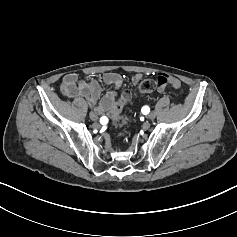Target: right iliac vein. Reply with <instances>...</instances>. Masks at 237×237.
<instances>
[{
	"label": "right iliac vein",
	"instance_id": "1",
	"mask_svg": "<svg viewBox=\"0 0 237 237\" xmlns=\"http://www.w3.org/2000/svg\"><path fill=\"white\" fill-rule=\"evenodd\" d=\"M89 116H90L91 120H93V121H96L98 119V116L95 112H91L89 114Z\"/></svg>",
	"mask_w": 237,
	"mask_h": 237
}]
</instances>
